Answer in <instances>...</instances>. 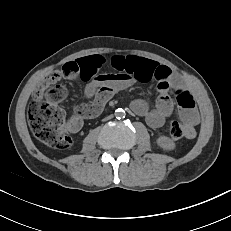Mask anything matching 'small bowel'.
Segmentation results:
<instances>
[{
  "mask_svg": "<svg viewBox=\"0 0 231 231\" xmlns=\"http://www.w3.org/2000/svg\"><path fill=\"white\" fill-rule=\"evenodd\" d=\"M68 65H74L73 71L75 68L77 72L69 75L63 70L56 72L48 77L35 93V96H38L46 86L61 77L72 80L80 77L87 82L85 95L90 101L76 107L73 116L80 119L77 124L69 126L68 131H79L83 119L99 115L107 101L118 91L127 89L136 82L156 80L159 96L155 106H150L145 99H134L130 103L132 111L144 117L151 128H160L173 113L174 105L170 96L173 94L177 100L179 116L185 126V136L189 139L195 138L199 115L194 97L187 85L169 67L134 55H116L110 58L91 55L69 62L64 68ZM107 67L115 72H105Z\"/></svg>",
  "mask_w": 231,
  "mask_h": 231,
  "instance_id": "obj_1",
  "label": "small bowel"
}]
</instances>
